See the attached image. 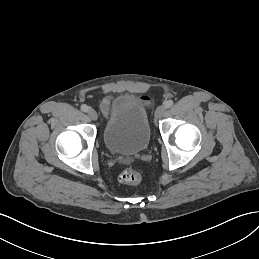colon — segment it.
<instances>
[{"mask_svg":"<svg viewBox=\"0 0 259 259\" xmlns=\"http://www.w3.org/2000/svg\"><path fill=\"white\" fill-rule=\"evenodd\" d=\"M119 179L126 184H138L141 181L142 176L137 170L128 168L120 174Z\"/></svg>","mask_w":259,"mask_h":259,"instance_id":"obj_1","label":"colon"}]
</instances>
